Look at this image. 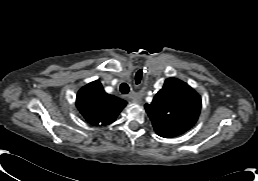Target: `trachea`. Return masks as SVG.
I'll return each instance as SVG.
<instances>
[{
	"label": "trachea",
	"mask_w": 258,
	"mask_h": 181,
	"mask_svg": "<svg viewBox=\"0 0 258 181\" xmlns=\"http://www.w3.org/2000/svg\"><path fill=\"white\" fill-rule=\"evenodd\" d=\"M120 91H121L122 94H128L129 91H130V88L126 83H122L120 85Z\"/></svg>",
	"instance_id": "3493384b"
}]
</instances>
